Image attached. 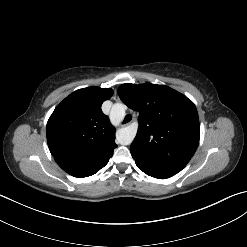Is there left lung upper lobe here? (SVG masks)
Returning a JSON list of instances; mask_svg holds the SVG:
<instances>
[{
  "instance_id": "obj_1",
  "label": "left lung upper lobe",
  "mask_w": 247,
  "mask_h": 247,
  "mask_svg": "<svg viewBox=\"0 0 247 247\" xmlns=\"http://www.w3.org/2000/svg\"><path fill=\"white\" fill-rule=\"evenodd\" d=\"M118 95L124 104L139 112L131 154L161 170L180 172L199 144V118L193 102L168 86L151 83L122 84Z\"/></svg>"
}]
</instances>
